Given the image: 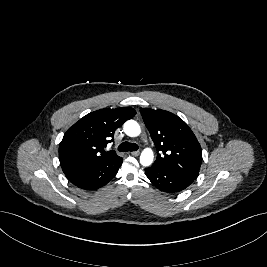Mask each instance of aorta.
I'll return each instance as SVG.
<instances>
[{"label": "aorta", "instance_id": "aorta-1", "mask_svg": "<svg viewBox=\"0 0 267 267\" xmlns=\"http://www.w3.org/2000/svg\"><path fill=\"white\" fill-rule=\"evenodd\" d=\"M124 132L130 137H136L141 133L139 124L134 120H128L124 123ZM154 154L152 149L146 148L140 155V163L147 167L153 163Z\"/></svg>", "mask_w": 267, "mask_h": 267}]
</instances>
